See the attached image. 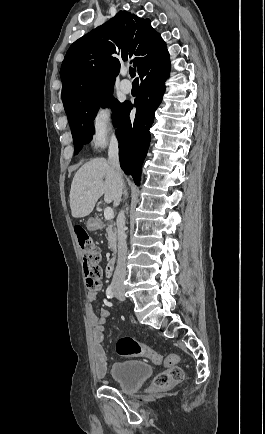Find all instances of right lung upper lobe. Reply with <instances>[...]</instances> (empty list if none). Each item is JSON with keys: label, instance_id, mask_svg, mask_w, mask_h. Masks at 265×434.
Masks as SVG:
<instances>
[{"label": "right lung upper lobe", "instance_id": "obj_1", "mask_svg": "<svg viewBox=\"0 0 265 434\" xmlns=\"http://www.w3.org/2000/svg\"><path fill=\"white\" fill-rule=\"evenodd\" d=\"M166 52L149 19L119 11L68 49L60 70L63 103L113 86L122 61L130 60L140 74L147 60Z\"/></svg>", "mask_w": 265, "mask_h": 434}]
</instances>
